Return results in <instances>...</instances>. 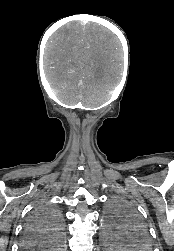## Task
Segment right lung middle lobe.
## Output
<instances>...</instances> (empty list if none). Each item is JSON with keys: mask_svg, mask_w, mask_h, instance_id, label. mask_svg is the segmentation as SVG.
Returning a JSON list of instances; mask_svg holds the SVG:
<instances>
[{"mask_svg": "<svg viewBox=\"0 0 174 251\" xmlns=\"http://www.w3.org/2000/svg\"><path fill=\"white\" fill-rule=\"evenodd\" d=\"M62 225L61 212L50 204L41 203L34 209L28 228L39 237H46L51 248H60Z\"/></svg>", "mask_w": 174, "mask_h": 251, "instance_id": "obj_1", "label": "right lung middle lobe"}]
</instances>
